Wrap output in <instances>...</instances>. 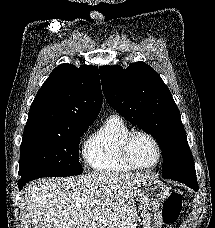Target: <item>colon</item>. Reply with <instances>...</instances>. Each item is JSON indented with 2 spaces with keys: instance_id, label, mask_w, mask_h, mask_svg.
<instances>
[{
  "instance_id": "1",
  "label": "colon",
  "mask_w": 215,
  "mask_h": 228,
  "mask_svg": "<svg viewBox=\"0 0 215 228\" xmlns=\"http://www.w3.org/2000/svg\"><path fill=\"white\" fill-rule=\"evenodd\" d=\"M182 209V198L178 192H171L164 201L161 211L162 220L165 224L175 223Z\"/></svg>"
}]
</instances>
